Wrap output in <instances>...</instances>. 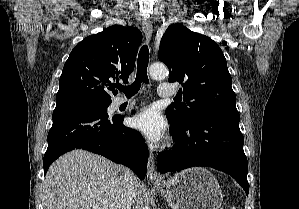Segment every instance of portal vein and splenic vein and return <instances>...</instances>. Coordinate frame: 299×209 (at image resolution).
<instances>
[{"label": "portal vein and splenic vein", "instance_id": "portal-vein-and-splenic-vein-1", "mask_svg": "<svg viewBox=\"0 0 299 209\" xmlns=\"http://www.w3.org/2000/svg\"><path fill=\"white\" fill-rule=\"evenodd\" d=\"M93 209H100V207L99 206H94Z\"/></svg>", "mask_w": 299, "mask_h": 209}]
</instances>
